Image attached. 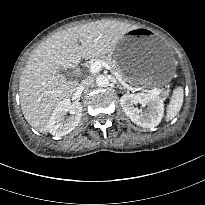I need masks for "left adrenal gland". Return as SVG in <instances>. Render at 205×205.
<instances>
[{
	"label": "left adrenal gland",
	"instance_id": "left-adrenal-gland-1",
	"mask_svg": "<svg viewBox=\"0 0 205 205\" xmlns=\"http://www.w3.org/2000/svg\"><path fill=\"white\" fill-rule=\"evenodd\" d=\"M118 87H119V89H124V87L120 86L119 84H118Z\"/></svg>",
	"mask_w": 205,
	"mask_h": 205
}]
</instances>
